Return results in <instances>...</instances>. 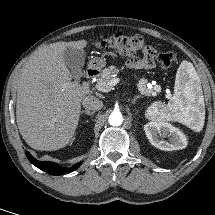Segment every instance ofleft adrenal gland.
<instances>
[{"instance_id":"left-adrenal-gland-1","label":"left adrenal gland","mask_w":215,"mask_h":215,"mask_svg":"<svg viewBox=\"0 0 215 215\" xmlns=\"http://www.w3.org/2000/svg\"><path fill=\"white\" fill-rule=\"evenodd\" d=\"M139 98H141V96H140V95L135 96V97H134V99H132V103H133V104H135V103H136V101H137Z\"/></svg>"}]
</instances>
